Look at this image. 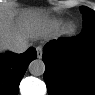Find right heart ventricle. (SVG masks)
<instances>
[{
  "label": "right heart ventricle",
  "instance_id": "right-heart-ventricle-1",
  "mask_svg": "<svg viewBox=\"0 0 95 95\" xmlns=\"http://www.w3.org/2000/svg\"><path fill=\"white\" fill-rule=\"evenodd\" d=\"M62 21L59 19L50 20L48 22V27L52 30H57L61 27Z\"/></svg>",
  "mask_w": 95,
  "mask_h": 95
}]
</instances>
